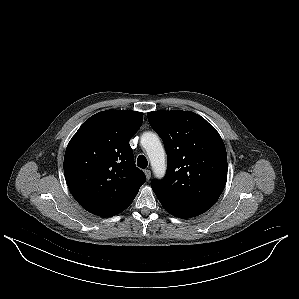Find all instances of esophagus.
Returning a JSON list of instances; mask_svg holds the SVG:
<instances>
[{"label":"esophagus","instance_id":"obj_1","mask_svg":"<svg viewBox=\"0 0 299 299\" xmlns=\"http://www.w3.org/2000/svg\"><path fill=\"white\" fill-rule=\"evenodd\" d=\"M147 180L151 178V171L149 169L144 170Z\"/></svg>","mask_w":299,"mask_h":299}]
</instances>
